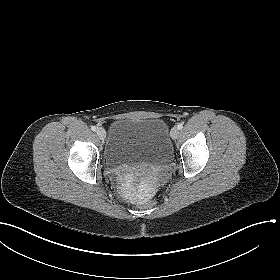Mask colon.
I'll use <instances>...</instances> for the list:
<instances>
[{"instance_id":"5ec220e1","label":"colon","mask_w":280,"mask_h":280,"mask_svg":"<svg viewBox=\"0 0 280 280\" xmlns=\"http://www.w3.org/2000/svg\"><path fill=\"white\" fill-rule=\"evenodd\" d=\"M154 204V200H149L145 203V206H151Z\"/></svg>"}]
</instances>
